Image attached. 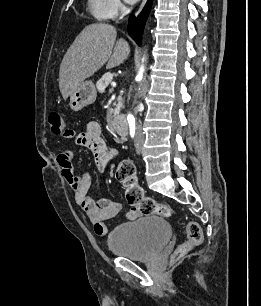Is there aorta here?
<instances>
[{"label":"aorta","instance_id":"1","mask_svg":"<svg viewBox=\"0 0 261 306\" xmlns=\"http://www.w3.org/2000/svg\"><path fill=\"white\" fill-rule=\"evenodd\" d=\"M143 72H144V67L141 66V68H140V70H139V73H138V75H137V78H138L139 80L142 79V77H143ZM127 119H128L129 122H132V121L134 120L133 114L129 113V114L127 115Z\"/></svg>","mask_w":261,"mask_h":306}]
</instances>
